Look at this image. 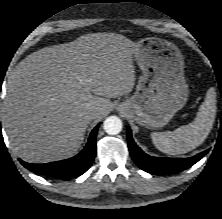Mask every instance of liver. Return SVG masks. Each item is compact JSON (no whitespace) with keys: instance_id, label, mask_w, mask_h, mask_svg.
Here are the masks:
<instances>
[{"instance_id":"liver-1","label":"liver","mask_w":222,"mask_h":219,"mask_svg":"<svg viewBox=\"0 0 222 219\" xmlns=\"http://www.w3.org/2000/svg\"><path fill=\"white\" fill-rule=\"evenodd\" d=\"M135 48L120 34L93 33L42 48L19 62L8 77L4 102L13 152L29 163L74 156L88 124L110 111V98L133 90Z\"/></svg>"}]
</instances>
